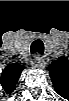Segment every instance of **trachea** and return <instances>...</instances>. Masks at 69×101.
<instances>
[{
	"label": "trachea",
	"mask_w": 69,
	"mask_h": 101,
	"mask_svg": "<svg viewBox=\"0 0 69 101\" xmlns=\"http://www.w3.org/2000/svg\"><path fill=\"white\" fill-rule=\"evenodd\" d=\"M43 52H44V43L42 42V40L37 39L33 41V43L31 44V53L42 55Z\"/></svg>",
	"instance_id": "3493384b"
}]
</instances>
